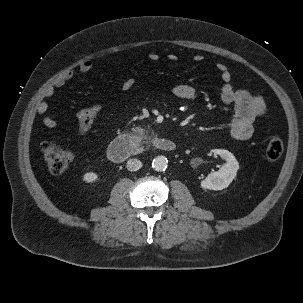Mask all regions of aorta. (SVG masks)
Returning a JSON list of instances; mask_svg holds the SVG:
<instances>
[{
    "label": "aorta",
    "instance_id": "762f6f07",
    "mask_svg": "<svg viewBox=\"0 0 303 303\" xmlns=\"http://www.w3.org/2000/svg\"><path fill=\"white\" fill-rule=\"evenodd\" d=\"M168 160L164 156H158L153 159L152 167L155 171L161 172L165 171L167 168Z\"/></svg>",
    "mask_w": 303,
    "mask_h": 303
}]
</instances>
